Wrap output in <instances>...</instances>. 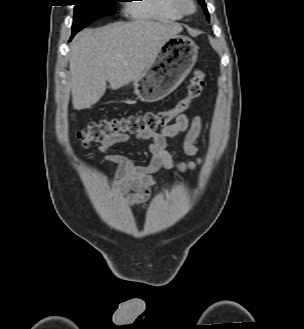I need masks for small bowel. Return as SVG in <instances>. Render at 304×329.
<instances>
[{
    "instance_id": "obj_1",
    "label": "small bowel",
    "mask_w": 304,
    "mask_h": 329,
    "mask_svg": "<svg viewBox=\"0 0 304 329\" xmlns=\"http://www.w3.org/2000/svg\"><path fill=\"white\" fill-rule=\"evenodd\" d=\"M202 130V119L199 116L190 118L186 114L179 115L167 127L153 133L150 136L137 135V138L148 142L151 153V161L145 165L135 164L128 157L121 154H107V150L114 145L126 143L130 140L127 134L112 135L100 143L98 147L102 160L115 163L118 168L111 183L116 185L119 193L130 206H146L153 193L156 181L153 178L160 168L179 170L182 172L195 169L201 164V159L177 162L170 154L167 139L185 133L183 150L189 156H195L197 148L195 142Z\"/></svg>"
}]
</instances>
